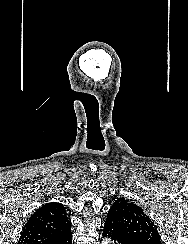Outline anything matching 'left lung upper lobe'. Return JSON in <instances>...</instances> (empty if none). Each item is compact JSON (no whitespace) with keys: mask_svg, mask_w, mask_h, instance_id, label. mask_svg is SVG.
<instances>
[{"mask_svg":"<svg viewBox=\"0 0 188 244\" xmlns=\"http://www.w3.org/2000/svg\"><path fill=\"white\" fill-rule=\"evenodd\" d=\"M108 213L116 217L123 232L138 244H161L156 225L138 205L124 199H116Z\"/></svg>","mask_w":188,"mask_h":244,"instance_id":"left-lung-upper-lobe-1","label":"left lung upper lobe"}]
</instances>
